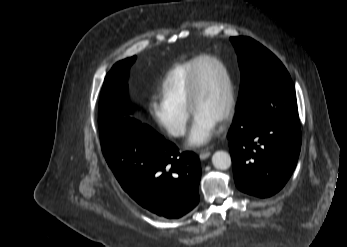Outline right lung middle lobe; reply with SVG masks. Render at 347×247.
Returning a JSON list of instances; mask_svg holds the SVG:
<instances>
[{"mask_svg":"<svg viewBox=\"0 0 347 247\" xmlns=\"http://www.w3.org/2000/svg\"><path fill=\"white\" fill-rule=\"evenodd\" d=\"M136 56L117 62L107 74L99 103V129L123 120L124 114L131 113L133 107L127 96V77Z\"/></svg>","mask_w":347,"mask_h":247,"instance_id":"dd1d6c3e","label":"right lung middle lobe"}]
</instances>
